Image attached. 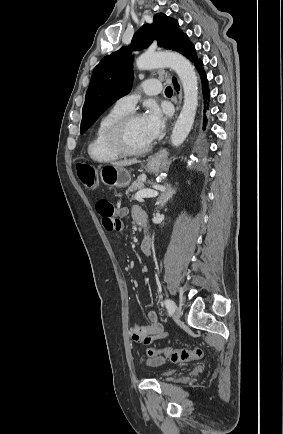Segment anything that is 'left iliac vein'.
Wrapping results in <instances>:
<instances>
[{
	"label": "left iliac vein",
	"mask_w": 283,
	"mask_h": 434,
	"mask_svg": "<svg viewBox=\"0 0 283 434\" xmlns=\"http://www.w3.org/2000/svg\"><path fill=\"white\" fill-rule=\"evenodd\" d=\"M182 316V310L179 307H176L174 312H173V319L174 320H179Z\"/></svg>",
	"instance_id": "4c4485c4"
}]
</instances>
